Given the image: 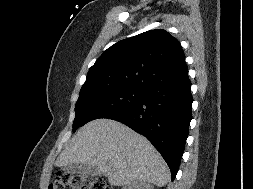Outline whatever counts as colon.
<instances>
[{
	"instance_id": "colon-1",
	"label": "colon",
	"mask_w": 253,
	"mask_h": 189,
	"mask_svg": "<svg viewBox=\"0 0 253 189\" xmlns=\"http://www.w3.org/2000/svg\"><path fill=\"white\" fill-rule=\"evenodd\" d=\"M49 189H112L103 179L81 174L59 173Z\"/></svg>"
}]
</instances>
